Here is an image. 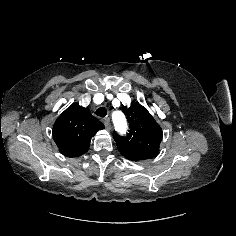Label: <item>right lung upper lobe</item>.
I'll use <instances>...</instances> for the list:
<instances>
[{
  "mask_svg": "<svg viewBox=\"0 0 236 236\" xmlns=\"http://www.w3.org/2000/svg\"><path fill=\"white\" fill-rule=\"evenodd\" d=\"M104 125L87 108L73 103L56 120L53 139L66 157H77L87 152L91 137Z\"/></svg>",
  "mask_w": 236,
  "mask_h": 236,
  "instance_id": "1",
  "label": "right lung upper lobe"
}]
</instances>
